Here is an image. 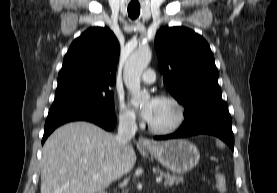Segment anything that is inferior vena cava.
<instances>
[{
  "label": "inferior vena cava",
  "instance_id": "obj_1",
  "mask_svg": "<svg viewBox=\"0 0 277 193\" xmlns=\"http://www.w3.org/2000/svg\"><path fill=\"white\" fill-rule=\"evenodd\" d=\"M136 131L137 124L135 116H120L118 133L115 139L123 148H125L126 146H128L130 140L135 136Z\"/></svg>",
  "mask_w": 277,
  "mask_h": 193
}]
</instances>
